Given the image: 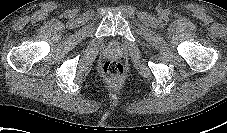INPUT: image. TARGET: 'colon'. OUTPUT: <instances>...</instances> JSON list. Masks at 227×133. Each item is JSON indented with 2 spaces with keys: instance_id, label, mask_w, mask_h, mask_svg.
<instances>
[{
  "instance_id": "colon-1",
  "label": "colon",
  "mask_w": 227,
  "mask_h": 133,
  "mask_svg": "<svg viewBox=\"0 0 227 133\" xmlns=\"http://www.w3.org/2000/svg\"><path fill=\"white\" fill-rule=\"evenodd\" d=\"M103 74L113 80H119L125 75L124 65L116 60L106 61L102 66Z\"/></svg>"
}]
</instances>
